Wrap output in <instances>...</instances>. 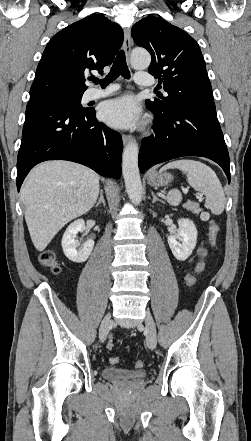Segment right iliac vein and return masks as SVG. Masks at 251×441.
<instances>
[{"label":"right iliac vein","mask_w":251,"mask_h":441,"mask_svg":"<svg viewBox=\"0 0 251 441\" xmlns=\"http://www.w3.org/2000/svg\"><path fill=\"white\" fill-rule=\"evenodd\" d=\"M111 324H112L111 315L107 314L104 317V319L102 320L100 328H99V339L101 342L105 341V339L108 335L109 329L111 327Z\"/></svg>","instance_id":"obj_1"}]
</instances>
